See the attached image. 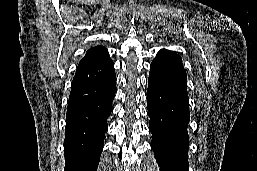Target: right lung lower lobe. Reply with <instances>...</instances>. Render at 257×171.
Instances as JSON below:
<instances>
[{"label":"right lung lower lobe","mask_w":257,"mask_h":171,"mask_svg":"<svg viewBox=\"0 0 257 171\" xmlns=\"http://www.w3.org/2000/svg\"><path fill=\"white\" fill-rule=\"evenodd\" d=\"M115 84L114 63L110 58L78 66L66 114L64 171H96Z\"/></svg>","instance_id":"1"}]
</instances>
